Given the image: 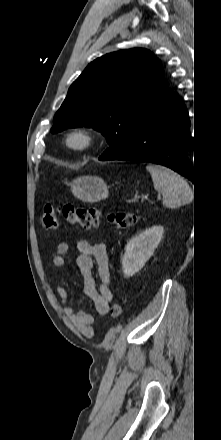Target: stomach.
<instances>
[{"label": "stomach", "instance_id": "stomach-1", "mask_svg": "<svg viewBox=\"0 0 221 440\" xmlns=\"http://www.w3.org/2000/svg\"><path fill=\"white\" fill-rule=\"evenodd\" d=\"M75 197L87 202H97L108 196V187L98 176H81L69 183Z\"/></svg>", "mask_w": 221, "mask_h": 440}]
</instances>
